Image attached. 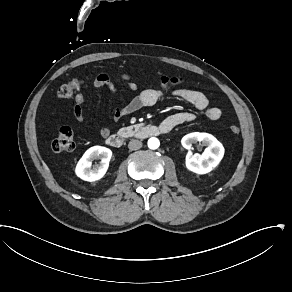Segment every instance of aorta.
Returning <instances> with one entry per match:
<instances>
[{
  "label": "aorta",
  "instance_id": "762f6f07",
  "mask_svg": "<svg viewBox=\"0 0 292 292\" xmlns=\"http://www.w3.org/2000/svg\"><path fill=\"white\" fill-rule=\"evenodd\" d=\"M160 142L157 138H150L148 140V147L152 150H155L159 147Z\"/></svg>",
  "mask_w": 292,
  "mask_h": 292
}]
</instances>
